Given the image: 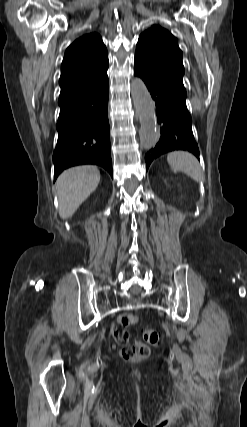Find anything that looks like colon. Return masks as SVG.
Instances as JSON below:
<instances>
[{
  "label": "colon",
  "instance_id": "colon-1",
  "mask_svg": "<svg viewBox=\"0 0 247 427\" xmlns=\"http://www.w3.org/2000/svg\"><path fill=\"white\" fill-rule=\"evenodd\" d=\"M145 341L151 345H158L161 337L160 333L154 329L146 328L143 330ZM150 349L147 344L142 342H134L125 345L121 350V355L124 359H141L148 356Z\"/></svg>",
  "mask_w": 247,
  "mask_h": 427
}]
</instances>
